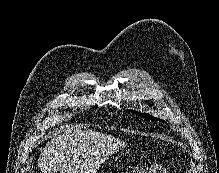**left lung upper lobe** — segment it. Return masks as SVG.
Listing matches in <instances>:
<instances>
[{
	"instance_id": "1",
	"label": "left lung upper lobe",
	"mask_w": 219,
	"mask_h": 173,
	"mask_svg": "<svg viewBox=\"0 0 219 173\" xmlns=\"http://www.w3.org/2000/svg\"><path fill=\"white\" fill-rule=\"evenodd\" d=\"M138 115H140V116H142V117H145V118H148V119H150V118H152V119H154V120H160V119H158V118H155V117H152V116H150L149 114H141V113H139V112H136ZM160 121H163V120H160ZM164 122V121H163Z\"/></svg>"
}]
</instances>
